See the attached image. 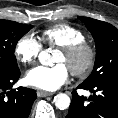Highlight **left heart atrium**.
<instances>
[{
  "instance_id": "1",
  "label": "left heart atrium",
  "mask_w": 118,
  "mask_h": 118,
  "mask_svg": "<svg viewBox=\"0 0 118 118\" xmlns=\"http://www.w3.org/2000/svg\"><path fill=\"white\" fill-rule=\"evenodd\" d=\"M68 77V68L62 63H57L52 66H37L29 70L26 81L39 89L53 91L62 86Z\"/></svg>"
}]
</instances>
